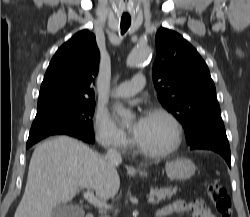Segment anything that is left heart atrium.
<instances>
[{
  "label": "left heart atrium",
  "mask_w": 250,
  "mask_h": 217,
  "mask_svg": "<svg viewBox=\"0 0 250 217\" xmlns=\"http://www.w3.org/2000/svg\"><path fill=\"white\" fill-rule=\"evenodd\" d=\"M147 117L148 116L145 115V114H140L137 117V119H136V121H135V123L133 125L132 132H133V135H134L136 140L139 138V136H140V134L142 132V129L145 126V123L147 121Z\"/></svg>",
  "instance_id": "obj_1"
}]
</instances>
